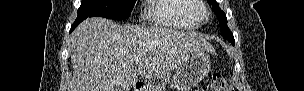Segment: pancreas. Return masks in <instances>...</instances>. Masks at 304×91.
Listing matches in <instances>:
<instances>
[{
	"label": "pancreas",
	"instance_id": "cf45deb5",
	"mask_svg": "<svg viewBox=\"0 0 304 91\" xmlns=\"http://www.w3.org/2000/svg\"><path fill=\"white\" fill-rule=\"evenodd\" d=\"M168 81H169L168 78H163V80H162V86H165V84H167Z\"/></svg>",
	"mask_w": 304,
	"mask_h": 91
}]
</instances>
